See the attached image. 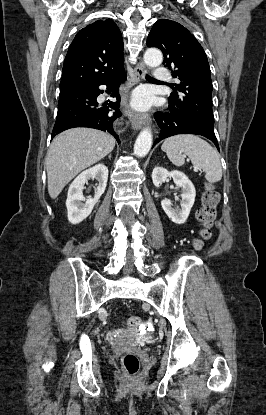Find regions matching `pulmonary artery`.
Masks as SVG:
<instances>
[{"label": "pulmonary artery", "mask_w": 266, "mask_h": 415, "mask_svg": "<svg viewBox=\"0 0 266 415\" xmlns=\"http://www.w3.org/2000/svg\"><path fill=\"white\" fill-rule=\"evenodd\" d=\"M154 77L157 80L160 81H169L170 80V74L164 67H157L154 71Z\"/></svg>", "instance_id": "e3ab8cb5"}]
</instances>
